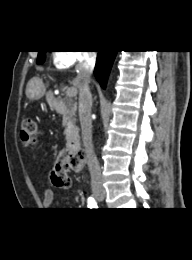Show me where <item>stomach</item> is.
Listing matches in <instances>:
<instances>
[{
  "label": "stomach",
  "mask_w": 192,
  "mask_h": 260,
  "mask_svg": "<svg viewBox=\"0 0 192 260\" xmlns=\"http://www.w3.org/2000/svg\"><path fill=\"white\" fill-rule=\"evenodd\" d=\"M46 91V87L43 83H38L35 81L29 82V87L27 91V97L31 100L40 99Z\"/></svg>",
  "instance_id": "0dacf381"
}]
</instances>
